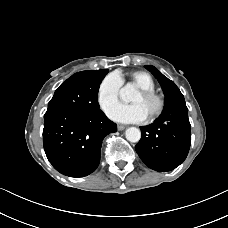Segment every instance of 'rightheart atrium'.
<instances>
[{
    "label": "right heart atrium",
    "mask_w": 228,
    "mask_h": 228,
    "mask_svg": "<svg viewBox=\"0 0 228 228\" xmlns=\"http://www.w3.org/2000/svg\"><path fill=\"white\" fill-rule=\"evenodd\" d=\"M123 81L119 74L110 73L100 82L97 89V102L106 111L119 97Z\"/></svg>",
    "instance_id": "obj_1"
}]
</instances>
